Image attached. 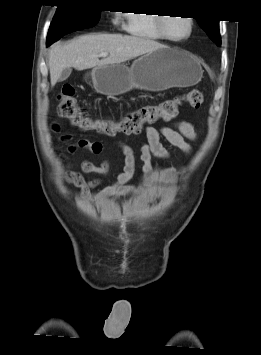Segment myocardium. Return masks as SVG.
Masks as SVG:
<instances>
[{
  "label": "myocardium",
  "mask_w": 261,
  "mask_h": 355,
  "mask_svg": "<svg viewBox=\"0 0 261 355\" xmlns=\"http://www.w3.org/2000/svg\"><path fill=\"white\" fill-rule=\"evenodd\" d=\"M164 16H166V15H164ZM184 18L188 20L189 32L186 36L181 37V38H173V37L169 36V34L167 33V30H166L167 17H159L158 18V28H159L162 36L164 37V39L171 41V42H182V41H185L191 37V35L193 34V30H194V19L189 16H185Z\"/></svg>",
  "instance_id": "obj_1"
}]
</instances>
